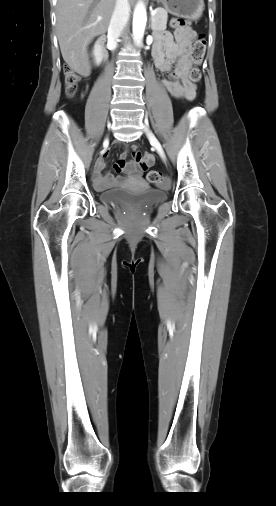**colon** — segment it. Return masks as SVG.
<instances>
[{
  "label": "colon",
  "mask_w": 276,
  "mask_h": 506,
  "mask_svg": "<svg viewBox=\"0 0 276 506\" xmlns=\"http://www.w3.org/2000/svg\"><path fill=\"white\" fill-rule=\"evenodd\" d=\"M170 24L175 31L190 28V22L187 19L181 17L172 18ZM205 50H206V39L202 34H200L196 37L191 50V60L194 64V67L190 71V79L194 83H197L201 80L202 73L200 66L202 64L205 55ZM79 82H80L79 75L75 71L66 68L64 84H65V92L69 97H72L76 94ZM146 178L152 184H158L162 186L169 185L168 180L163 176L161 172L158 171H150L147 174Z\"/></svg>",
  "instance_id": "colon-1"
}]
</instances>
